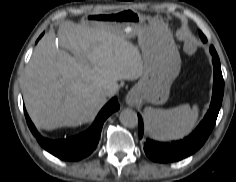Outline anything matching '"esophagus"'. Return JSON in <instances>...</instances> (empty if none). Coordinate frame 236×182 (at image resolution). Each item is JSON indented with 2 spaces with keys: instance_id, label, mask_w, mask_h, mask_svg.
Wrapping results in <instances>:
<instances>
[{
  "instance_id": "34e87169",
  "label": "esophagus",
  "mask_w": 236,
  "mask_h": 182,
  "mask_svg": "<svg viewBox=\"0 0 236 182\" xmlns=\"http://www.w3.org/2000/svg\"><path fill=\"white\" fill-rule=\"evenodd\" d=\"M126 103L129 106H135L137 104V98L134 93L130 92L126 97Z\"/></svg>"
}]
</instances>
